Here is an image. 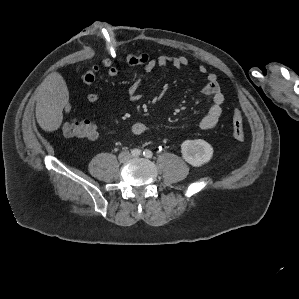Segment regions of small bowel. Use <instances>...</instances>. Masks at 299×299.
<instances>
[{
  "label": "small bowel",
  "mask_w": 299,
  "mask_h": 299,
  "mask_svg": "<svg viewBox=\"0 0 299 299\" xmlns=\"http://www.w3.org/2000/svg\"><path fill=\"white\" fill-rule=\"evenodd\" d=\"M123 60L130 66H141L142 69L136 79L132 82L128 90V96L131 101H138L141 98L139 89L146 77L156 68L172 65L176 68H185L189 65V60L185 56H152L144 50H137L134 53H128L123 56ZM101 69L106 70L109 77H115L118 74V68L111 58H104L98 65L91 67L82 76V80L86 85L95 82L96 77ZM198 72L206 76V84L203 87V93L211 98V106L206 114L201 118L199 127L202 130L214 128L220 120L223 113L224 95L220 89L217 76L209 73L205 66L200 65ZM99 100V94L91 92L87 95L89 103H95ZM149 126L144 122H136L133 124L131 131L134 135L140 136L148 130Z\"/></svg>",
  "instance_id": "obj_1"
}]
</instances>
